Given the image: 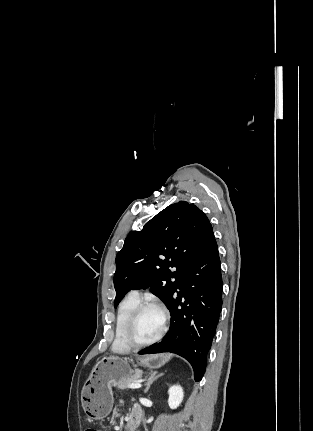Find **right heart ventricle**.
Segmentation results:
<instances>
[{
  "label": "right heart ventricle",
  "instance_id": "e07e8e85",
  "mask_svg": "<svg viewBox=\"0 0 313 431\" xmlns=\"http://www.w3.org/2000/svg\"><path fill=\"white\" fill-rule=\"evenodd\" d=\"M140 303V298L128 294L118 305L115 320V335L112 342V351L124 353L131 350V347L124 339L125 328L133 309Z\"/></svg>",
  "mask_w": 313,
  "mask_h": 431
}]
</instances>
